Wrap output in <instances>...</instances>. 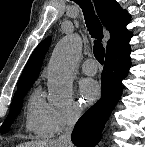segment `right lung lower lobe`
I'll return each instance as SVG.
<instances>
[{"instance_id":"98d812e1","label":"right lung lower lobe","mask_w":145,"mask_h":147,"mask_svg":"<svg viewBox=\"0 0 145 147\" xmlns=\"http://www.w3.org/2000/svg\"><path fill=\"white\" fill-rule=\"evenodd\" d=\"M131 37L129 32L107 49L101 99L82 115L72 132L71 140L77 147H94L100 141L104 124L121 97V80L130 68Z\"/></svg>"}]
</instances>
